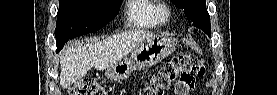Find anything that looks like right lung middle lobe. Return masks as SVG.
<instances>
[{
    "label": "right lung middle lobe",
    "mask_w": 277,
    "mask_h": 95,
    "mask_svg": "<svg viewBox=\"0 0 277 95\" xmlns=\"http://www.w3.org/2000/svg\"><path fill=\"white\" fill-rule=\"evenodd\" d=\"M122 0H59L56 23L57 51L72 38L94 32L119 12Z\"/></svg>",
    "instance_id": "right-lung-middle-lobe-1"
}]
</instances>
